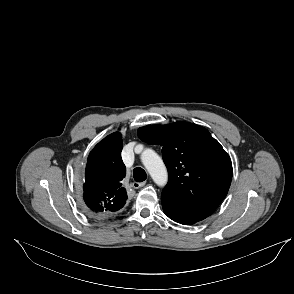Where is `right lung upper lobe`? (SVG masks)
<instances>
[{
    "label": "right lung upper lobe",
    "instance_id": "1",
    "mask_svg": "<svg viewBox=\"0 0 294 294\" xmlns=\"http://www.w3.org/2000/svg\"><path fill=\"white\" fill-rule=\"evenodd\" d=\"M122 137L114 132L90 152L83 185L84 201L99 217H108L121 209L127 200L122 187L126 168L121 158Z\"/></svg>",
    "mask_w": 294,
    "mask_h": 294
}]
</instances>
